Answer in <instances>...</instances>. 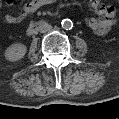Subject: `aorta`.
<instances>
[{
	"label": "aorta",
	"mask_w": 119,
	"mask_h": 119,
	"mask_svg": "<svg viewBox=\"0 0 119 119\" xmlns=\"http://www.w3.org/2000/svg\"><path fill=\"white\" fill-rule=\"evenodd\" d=\"M62 28L65 30H70L73 27V23L70 19H63L61 22Z\"/></svg>",
	"instance_id": "1"
}]
</instances>
